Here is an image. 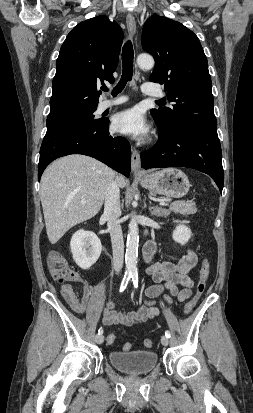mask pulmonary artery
I'll return each mask as SVG.
<instances>
[{
  "label": "pulmonary artery",
  "mask_w": 253,
  "mask_h": 413,
  "mask_svg": "<svg viewBox=\"0 0 253 413\" xmlns=\"http://www.w3.org/2000/svg\"><path fill=\"white\" fill-rule=\"evenodd\" d=\"M142 92L145 95L148 96H153V97H161L163 96V92L162 90L155 86L154 84L151 83H144L142 85ZM127 100L126 97L124 96H118L114 99H104L102 101L99 102L98 104V111L99 112H103L109 108H112L114 106H117L119 104H122L123 102H125Z\"/></svg>",
  "instance_id": "obj_1"
}]
</instances>
